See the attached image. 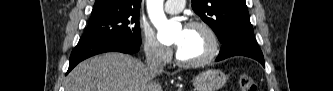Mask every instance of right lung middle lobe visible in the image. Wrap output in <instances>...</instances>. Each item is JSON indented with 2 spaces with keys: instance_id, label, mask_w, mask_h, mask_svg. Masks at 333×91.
<instances>
[{
  "instance_id": "1",
  "label": "right lung middle lobe",
  "mask_w": 333,
  "mask_h": 91,
  "mask_svg": "<svg viewBox=\"0 0 333 91\" xmlns=\"http://www.w3.org/2000/svg\"><path fill=\"white\" fill-rule=\"evenodd\" d=\"M82 38H119L141 45L139 11L90 18Z\"/></svg>"
}]
</instances>
